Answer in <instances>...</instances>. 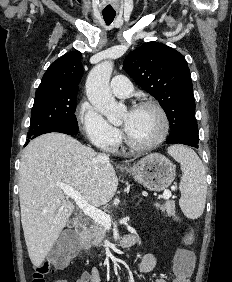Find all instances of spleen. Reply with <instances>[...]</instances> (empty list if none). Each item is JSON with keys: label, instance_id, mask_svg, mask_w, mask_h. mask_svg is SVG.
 Here are the masks:
<instances>
[{"label": "spleen", "instance_id": "obj_1", "mask_svg": "<svg viewBox=\"0 0 232 282\" xmlns=\"http://www.w3.org/2000/svg\"><path fill=\"white\" fill-rule=\"evenodd\" d=\"M168 153L181 165L180 208L186 217L197 219L206 203L207 184L202 161L191 148L181 145L170 147Z\"/></svg>", "mask_w": 232, "mask_h": 282}]
</instances>
